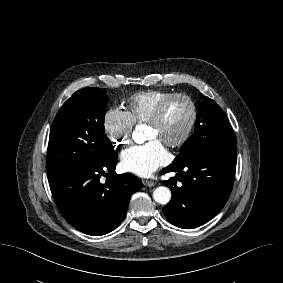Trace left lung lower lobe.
<instances>
[{
  "label": "left lung lower lobe",
  "instance_id": "obj_1",
  "mask_svg": "<svg viewBox=\"0 0 283 283\" xmlns=\"http://www.w3.org/2000/svg\"><path fill=\"white\" fill-rule=\"evenodd\" d=\"M236 146L204 152L171 164L161 173L176 172L163 183L171 189L172 199L164 215L173 225L191 229L205 224L226 204L234 182ZM177 181L182 184L177 185Z\"/></svg>",
  "mask_w": 283,
  "mask_h": 283
}]
</instances>
